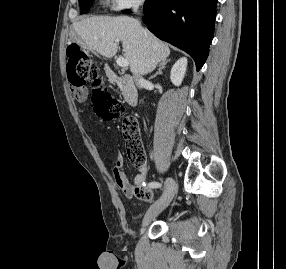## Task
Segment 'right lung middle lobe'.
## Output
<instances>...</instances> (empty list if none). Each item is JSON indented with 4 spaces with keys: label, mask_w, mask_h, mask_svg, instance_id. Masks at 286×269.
<instances>
[{
    "label": "right lung middle lobe",
    "mask_w": 286,
    "mask_h": 269,
    "mask_svg": "<svg viewBox=\"0 0 286 269\" xmlns=\"http://www.w3.org/2000/svg\"><path fill=\"white\" fill-rule=\"evenodd\" d=\"M157 1L158 0H146L145 5H144V9H149L151 7H154L155 4L157 3ZM92 2H93V0H79V4L81 7V14L88 12L89 7H90ZM125 12L129 13V11H125Z\"/></svg>",
    "instance_id": "obj_1"
}]
</instances>
